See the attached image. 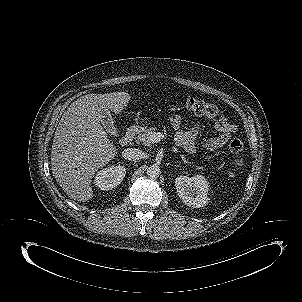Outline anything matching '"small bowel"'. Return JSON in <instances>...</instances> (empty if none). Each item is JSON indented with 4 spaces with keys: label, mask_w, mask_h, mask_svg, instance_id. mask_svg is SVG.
Instances as JSON below:
<instances>
[{
    "label": "small bowel",
    "mask_w": 302,
    "mask_h": 302,
    "mask_svg": "<svg viewBox=\"0 0 302 302\" xmlns=\"http://www.w3.org/2000/svg\"><path fill=\"white\" fill-rule=\"evenodd\" d=\"M170 123L173 129L176 130L175 140L177 144L188 151H193L195 149V140L198 135L199 125L193 126L188 131H183L182 118L179 115L171 116ZM214 129L218 135L202 141V146L206 149H215L226 145L236 132V127L223 118L215 122Z\"/></svg>",
    "instance_id": "obj_1"
}]
</instances>
